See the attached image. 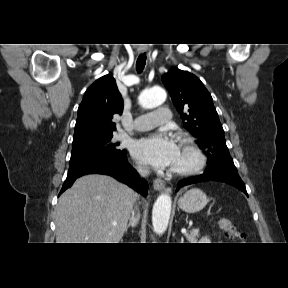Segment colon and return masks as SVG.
<instances>
[{
  "label": "colon",
  "mask_w": 288,
  "mask_h": 288,
  "mask_svg": "<svg viewBox=\"0 0 288 288\" xmlns=\"http://www.w3.org/2000/svg\"><path fill=\"white\" fill-rule=\"evenodd\" d=\"M218 226L230 239L237 240L242 238V234L228 218L219 219Z\"/></svg>",
  "instance_id": "1"
}]
</instances>
